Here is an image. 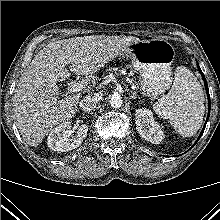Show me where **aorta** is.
<instances>
[{
    "instance_id": "aorta-1",
    "label": "aorta",
    "mask_w": 220,
    "mask_h": 220,
    "mask_svg": "<svg viewBox=\"0 0 220 220\" xmlns=\"http://www.w3.org/2000/svg\"><path fill=\"white\" fill-rule=\"evenodd\" d=\"M109 103L113 108H120L123 104L122 97L119 94H113L110 97Z\"/></svg>"
}]
</instances>
